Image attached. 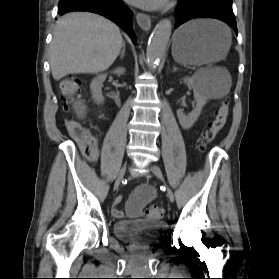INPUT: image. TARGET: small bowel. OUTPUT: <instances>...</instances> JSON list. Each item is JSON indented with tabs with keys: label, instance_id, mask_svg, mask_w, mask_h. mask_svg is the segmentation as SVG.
I'll return each mask as SVG.
<instances>
[{
	"label": "small bowel",
	"instance_id": "1",
	"mask_svg": "<svg viewBox=\"0 0 279 279\" xmlns=\"http://www.w3.org/2000/svg\"><path fill=\"white\" fill-rule=\"evenodd\" d=\"M77 110L80 115H83L85 112V107L83 104L77 105ZM155 196V191L152 186L144 184L136 188L130 195L127 204H126V214L129 217H138L144 206L149 203ZM120 199L116 198L115 204L112 208V214L116 218H122L124 212L117 208V204Z\"/></svg>",
	"mask_w": 279,
	"mask_h": 279
}]
</instances>
